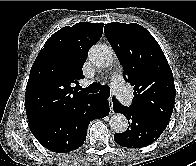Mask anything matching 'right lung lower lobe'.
Here are the masks:
<instances>
[{
  "instance_id": "1",
  "label": "right lung lower lobe",
  "mask_w": 196,
  "mask_h": 166,
  "mask_svg": "<svg viewBox=\"0 0 196 166\" xmlns=\"http://www.w3.org/2000/svg\"><path fill=\"white\" fill-rule=\"evenodd\" d=\"M108 114L107 99L100 94H92L61 115L29 123V128L45 148L56 153H66L83 145L91 120Z\"/></svg>"
}]
</instances>
